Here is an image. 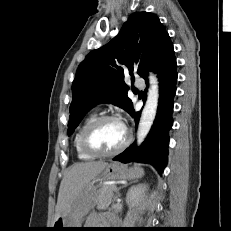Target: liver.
<instances>
[{"instance_id":"1","label":"liver","mask_w":231,"mask_h":231,"mask_svg":"<svg viewBox=\"0 0 231 231\" xmlns=\"http://www.w3.org/2000/svg\"><path fill=\"white\" fill-rule=\"evenodd\" d=\"M107 165V162L93 161L76 163L70 167L60 183L54 222L59 217L66 215L75 197L84 187L91 184L92 180H94Z\"/></svg>"}]
</instances>
